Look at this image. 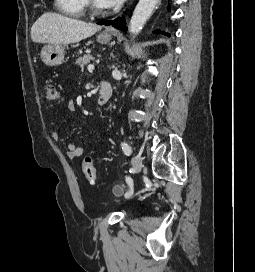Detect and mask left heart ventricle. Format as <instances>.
Returning a JSON list of instances; mask_svg holds the SVG:
<instances>
[{
    "mask_svg": "<svg viewBox=\"0 0 255 272\" xmlns=\"http://www.w3.org/2000/svg\"><path fill=\"white\" fill-rule=\"evenodd\" d=\"M95 2H96V4H97L99 7H102V6L100 5V3H99L98 0H95Z\"/></svg>",
    "mask_w": 255,
    "mask_h": 272,
    "instance_id": "left-heart-ventricle-1",
    "label": "left heart ventricle"
}]
</instances>
